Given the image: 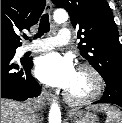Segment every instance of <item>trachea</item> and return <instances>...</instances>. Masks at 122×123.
I'll list each match as a JSON object with an SVG mask.
<instances>
[{
    "instance_id": "trachea-1",
    "label": "trachea",
    "mask_w": 122,
    "mask_h": 123,
    "mask_svg": "<svg viewBox=\"0 0 122 123\" xmlns=\"http://www.w3.org/2000/svg\"><path fill=\"white\" fill-rule=\"evenodd\" d=\"M49 30H50L49 16L46 13L40 19L38 33L35 35V38L41 37L45 33L49 32ZM24 39H29V37L28 36H24Z\"/></svg>"
}]
</instances>
